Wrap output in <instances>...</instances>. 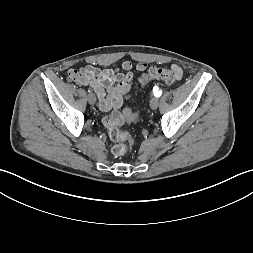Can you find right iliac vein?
Masks as SVG:
<instances>
[{"label":"right iliac vein","instance_id":"obj_1","mask_svg":"<svg viewBox=\"0 0 253 253\" xmlns=\"http://www.w3.org/2000/svg\"><path fill=\"white\" fill-rule=\"evenodd\" d=\"M87 100L90 104L96 103V96L93 93L88 94Z\"/></svg>","mask_w":253,"mask_h":253}]
</instances>
